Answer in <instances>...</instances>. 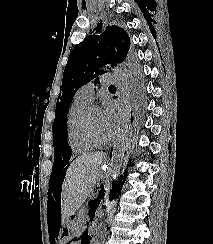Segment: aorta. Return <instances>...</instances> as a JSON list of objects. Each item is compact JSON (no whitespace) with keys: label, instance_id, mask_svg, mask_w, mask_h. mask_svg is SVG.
Instances as JSON below:
<instances>
[{"label":"aorta","instance_id":"obj_1","mask_svg":"<svg viewBox=\"0 0 213 244\" xmlns=\"http://www.w3.org/2000/svg\"><path fill=\"white\" fill-rule=\"evenodd\" d=\"M114 72L117 75V92L120 106L118 111V128L116 131V137L111 157V172L105 183V207L108 204L109 194L112 190L113 183L120 176L125 161V152L128 148L132 134L130 82L126 73L120 68L116 67ZM101 238L102 236L98 234L94 238V244H100Z\"/></svg>","mask_w":213,"mask_h":244}]
</instances>
